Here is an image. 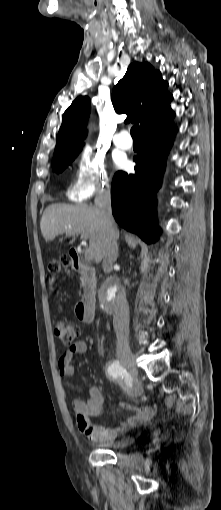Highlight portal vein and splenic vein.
I'll return each mask as SVG.
<instances>
[{
    "label": "portal vein and splenic vein",
    "mask_w": 221,
    "mask_h": 510,
    "mask_svg": "<svg viewBox=\"0 0 221 510\" xmlns=\"http://www.w3.org/2000/svg\"><path fill=\"white\" fill-rule=\"evenodd\" d=\"M81 239H82L84 242H86V240H87V235H86L85 233H81ZM93 258H94V252H93V250H92V249H90V248H87V249L85 250V259H86L87 261H91Z\"/></svg>",
    "instance_id": "obj_1"
}]
</instances>
